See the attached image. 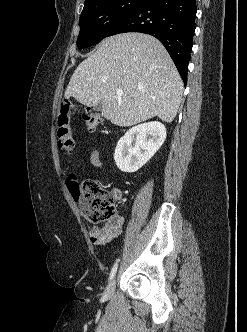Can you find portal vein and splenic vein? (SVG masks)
Returning a JSON list of instances; mask_svg holds the SVG:
<instances>
[{
    "label": "portal vein and splenic vein",
    "mask_w": 247,
    "mask_h": 332,
    "mask_svg": "<svg viewBox=\"0 0 247 332\" xmlns=\"http://www.w3.org/2000/svg\"><path fill=\"white\" fill-rule=\"evenodd\" d=\"M116 94H117L118 96L123 95V90H121V89L116 90Z\"/></svg>",
    "instance_id": "1"
}]
</instances>
